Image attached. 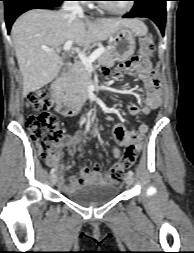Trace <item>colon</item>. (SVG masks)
<instances>
[{"label":"colon","mask_w":194,"mask_h":253,"mask_svg":"<svg viewBox=\"0 0 194 253\" xmlns=\"http://www.w3.org/2000/svg\"><path fill=\"white\" fill-rule=\"evenodd\" d=\"M139 52L144 57L152 54V36L147 35L140 39ZM52 103L53 97L49 87H42L30 92L27 96V105L37 113L28 115L25 125L36 144L39 154L43 158L56 161L61 153L60 145L63 135L57 117L48 112ZM139 151L133 145L126 149L121 161L111 169V176L115 181H120L125 169L134 164Z\"/></svg>","instance_id":"1"}]
</instances>
